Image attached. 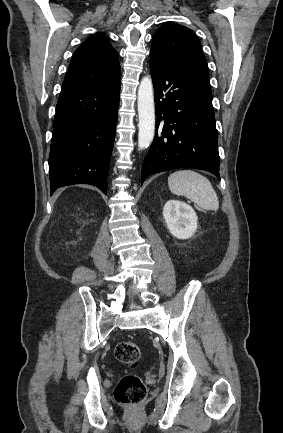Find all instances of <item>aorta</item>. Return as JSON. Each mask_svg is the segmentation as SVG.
Segmentation results:
<instances>
[{"label": "aorta", "instance_id": "obj_1", "mask_svg": "<svg viewBox=\"0 0 283 433\" xmlns=\"http://www.w3.org/2000/svg\"><path fill=\"white\" fill-rule=\"evenodd\" d=\"M138 147L147 148L155 135V104L152 79L149 76L142 78L138 88Z\"/></svg>", "mask_w": 283, "mask_h": 433}]
</instances>
